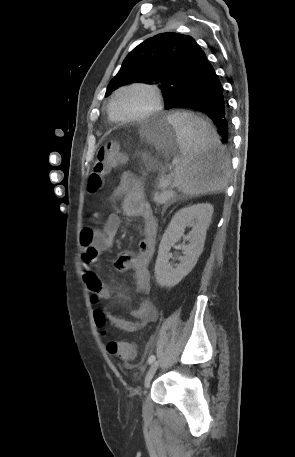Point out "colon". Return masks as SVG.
Wrapping results in <instances>:
<instances>
[{
    "label": "colon",
    "mask_w": 295,
    "mask_h": 457,
    "mask_svg": "<svg viewBox=\"0 0 295 457\" xmlns=\"http://www.w3.org/2000/svg\"><path fill=\"white\" fill-rule=\"evenodd\" d=\"M125 161L126 156L116 141H110L100 147L88 181L89 192L96 193L102 189L106 176ZM94 318L97 326L106 325L105 315L101 309L94 312ZM104 347L105 350H108L109 355H117L127 361H131L135 357V347L129 342L105 341Z\"/></svg>",
    "instance_id": "obj_1"
}]
</instances>
